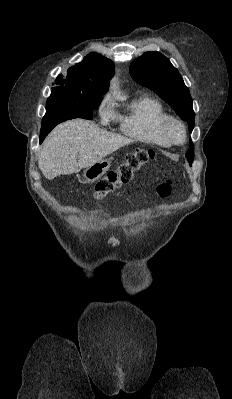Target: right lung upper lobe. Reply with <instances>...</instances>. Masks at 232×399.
I'll list each match as a JSON object with an SVG mask.
<instances>
[{
  "instance_id": "1",
  "label": "right lung upper lobe",
  "mask_w": 232,
  "mask_h": 399,
  "mask_svg": "<svg viewBox=\"0 0 232 399\" xmlns=\"http://www.w3.org/2000/svg\"><path fill=\"white\" fill-rule=\"evenodd\" d=\"M114 68L111 60L98 53H90L82 63L69 68L67 76L60 74L56 78V88L67 93L105 94Z\"/></svg>"
}]
</instances>
